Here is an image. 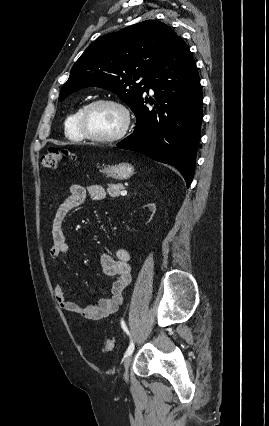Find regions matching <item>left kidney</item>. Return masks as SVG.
<instances>
[{
  "instance_id": "5707ae66",
  "label": "left kidney",
  "mask_w": 269,
  "mask_h": 426,
  "mask_svg": "<svg viewBox=\"0 0 269 426\" xmlns=\"http://www.w3.org/2000/svg\"><path fill=\"white\" fill-rule=\"evenodd\" d=\"M146 207L149 209V211L151 212V215L147 217L148 221L152 220V216L155 214L156 212V206L154 203H149L146 205Z\"/></svg>"
}]
</instances>
